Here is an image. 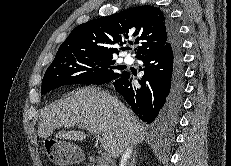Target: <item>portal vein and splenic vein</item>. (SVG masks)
<instances>
[{"mask_svg":"<svg viewBox=\"0 0 231 166\" xmlns=\"http://www.w3.org/2000/svg\"><path fill=\"white\" fill-rule=\"evenodd\" d=\"M91 133L94 134L96 137H99V132L92 131ZM100 158H101V161L104 164H106L107 166H109V163L111 162V156L108 153H106V152L102 153Z\"/></svg>","mask_w":231,"mask_h":166,"instance_id":"18ae733b","label":"portal vein and splenic vein"}]
</instances>
